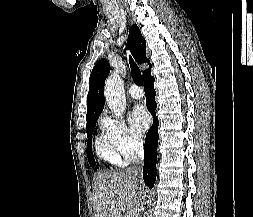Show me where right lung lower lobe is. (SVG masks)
Returning a JSON list of instances; mask_svg holds the SVG:
<instances>
[{
  "label": "right lung lower lobe",
  "mask_w": 253,
  "mask_h": 217,
  "mask_svg": "<svg viewBox=\"0 0 253 217\" xmlns=\"http://www.w3.org/2000/svg\"><path fill=\"white\" fill-rule=\"evenodd\" d=\"M144 89L147 108L153 115L154 124L148 131L145 139L143 178L149 188H152L156 180V159L159 135L157 131L158 120L155 115L157 105L154 100L156 94L154 90V77H152L150 73L144 77Z\"/></svg>",
  "instance_id": "right-lung-lower-lobe-1"
}]
</instances>
